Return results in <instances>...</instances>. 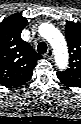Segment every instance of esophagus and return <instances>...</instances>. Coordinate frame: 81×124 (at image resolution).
<instances>
[{
	"label": "esophagus",
	"instance_id": "esophagus-1",
	"mask_svg": "<svg viewBox=\"0 0 81 124\" xmlns=\"http://www.w3.org/2000/svg\"><path fill=\"white\" fill-rule=\"evenodd\" d=\"M47 58H52L53 57V50L49 48L45 54Z\"/></svg>",
	"mask_w": 81,
	"mask_h": 124
}]
</instances>
